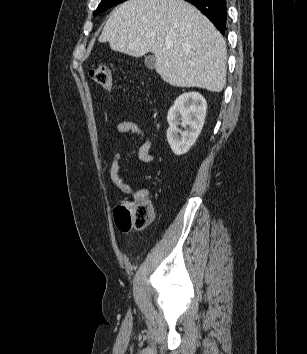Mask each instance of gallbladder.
Here are the masks:
<instances>
[{"label":"gallbladder","instance_id":"bac80fb5","mask_svg":"<svg viewBox=\"0 0 307 354\" xmlns=\"http://www.w3.org/2000/svg\"><path fill=\"white\" fill-rule=\"evenodd\" d=\"M155 63H156V61H155L154 56L150 55V56L145 57V66L148 69H154Z\"/></svg>","mask_w":307,"mask_h":354}]
</instances>
